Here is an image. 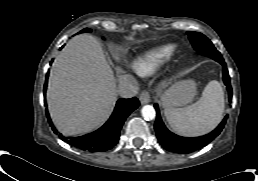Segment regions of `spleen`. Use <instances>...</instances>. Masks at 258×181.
<instances>
[{
  "label": "spleen",
  "instance_id": "1",
  "mask_svg": "<svg viewBox=\"0 0 258 181\" xmlns=\"http://www.w3.org/2000/svg\"><path fill=\"white\" fill-rule=\"evenodd\" d=\"M224 108L223 89L218 81L212 80L194 104L185 108H166L164 114L176 133L199 136L210 132L220 123Z\"/></svg>",
  "mask_w": 258,
  "mask_h": 181
}]
</instances>
